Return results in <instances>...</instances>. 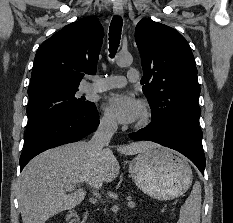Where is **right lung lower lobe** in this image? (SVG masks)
<instances>
[{"label": "right lung lower lobe", "mask_w": 233, "mask_h": 223, "mask_svg": "<svg viewBox=\"0 0 233 223\" xmlns=\"http://www.w3.org/2000/svg\"><path fill=\"white\" fill-rule=\"evenodd\" d=\"M99 114L95 104L51 122L24 135L25 146L20 156V171L39 153L63 144L78 141L96 130Z\"/></svg>", "instance_id": "98d812e1"}]
</instances>
